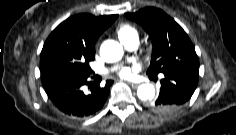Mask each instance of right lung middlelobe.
I'll return each mask as SVG.
<instances>
[{
    "label": "right lung middle lobe",
    "instance_id": "right-lung-middle-lobe-1",
    "mask_svg": "<svg viewBox=\"0 0 236 135\" xmlns=\"http://www.w3.org/2000/svg\"><path fill=\"white\" fill-rule=\"evenodd\" d=\"M95 58V47L77 37L61 34L48 38L41 52V72L71 71L91 73L89 63Z\"/></svg>",
    "mask_w": 236,
    "mask_h": 135
}]
</instances>
